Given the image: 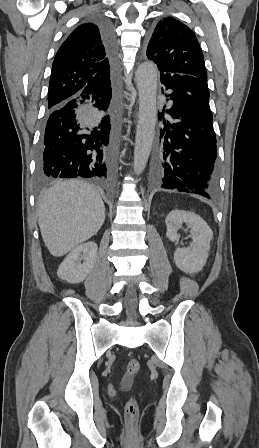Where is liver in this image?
<instances>
[{
  "label": "liver",
  "instance_id": "6515ba94",
  "mask_svg": "<svg viewBox=\"0 0 259 448\" xmlns=\"http://www.w3.org/2000/svg\"><path fill=\"white\" fill-rule=\"evenodd\" d=\"M39 228L52 256H64L97 234L105 220L97 190L81 180L57 182L38 200Z\"/></svg>",
  "mask_w": 259,
  "mask_h": 448
}]
</instances>
